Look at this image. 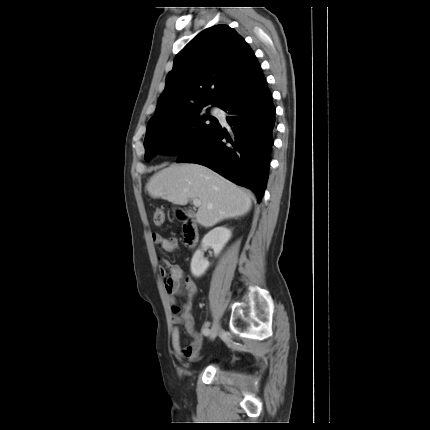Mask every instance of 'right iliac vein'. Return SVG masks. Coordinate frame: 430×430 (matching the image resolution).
Returning a JSON list of instances; mask_svg holds the SVG:
<instances>
[{"mask_svg":"<svg viewBox=\"0 0 430 430\" xmlns=\"http://www.w3.org/2000/svg\"><path fill=\"white\" fill-rule=\"evenodd\" d=\"M219 329H220L219 324L218 323H214L213 326H212V328H211V330H210V332H209V334H208L209 338L210 339H214L217 336Z\"/></svg>","mask_w":430,"mask_h":430,"instance_id":"obj_1","label":"right iliac vein"}]
</instances>
